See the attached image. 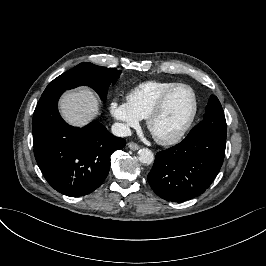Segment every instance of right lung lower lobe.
Segmentation results:
<instances>
[{"instance_id": "right-lung-lower-lobe-1", "label": "right lung lower lobe", "mask_w": 266, "mask_h": 266, "mask_svg": "<svg viewBox=\"0 0 266 266\" xmlns=\"http://www.w3.org/2000/svg\"><path fill=\"white\" fill-rule=\"evenodd\" d=\"M64 91L43 95L33 115L37 164L48 183L70 197L87 195L105 180L110 155L126 145L98 121L83 128L68 125L60 116L58 99Z\"/></svg>"}]
</instances>
